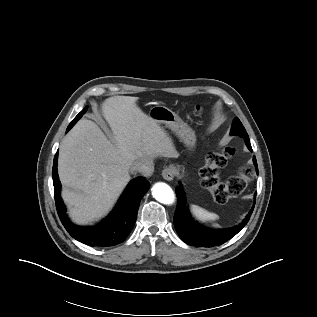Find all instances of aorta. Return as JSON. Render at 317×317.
<instances>
[{
    "label": "aorta",
    "mask_w": 317,
    "mask_h": 317,
    "mask_svg": "<svg viewBox=\"0 0 317 317\" xmlns=\"http://www.w3.org/2000/svg\"><path fill=\"white\" fill-rule=\"evenodd\" d=\"M152 196L161 204L171 205L175 201L172 188L163 182L155 183L151 189Z\"/></svg>",
    "instance_id": "1"
}]
</instances>
